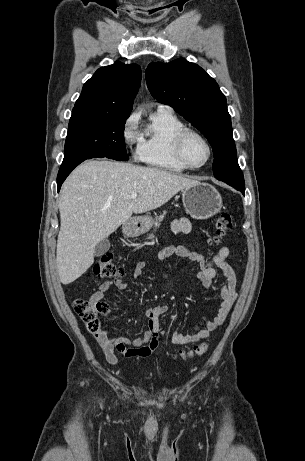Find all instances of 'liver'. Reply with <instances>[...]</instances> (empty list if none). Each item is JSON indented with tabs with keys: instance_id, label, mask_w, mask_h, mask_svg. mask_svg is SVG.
<instances>
[{
	"instance_id": "6515ba94",
	"label": "liver",
	"mask_w": 305,
	"mask_h": 461,
	"mask_svg": "<svg viewBox=\"0 0 305 461\" xmlns=\"http://www.w3.org/2000/svg\"><path fill=\"white\" fill-rule=\"evenodd\" d=\"M199 182L156 168L92 160L64 182L56 263L60 281L78 279L94 262V249L132 214L156 209ZM138 194L136 199L131 194Z\"/></svg>"
}]
</instances>
